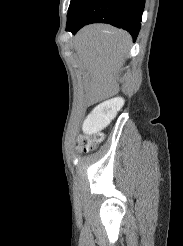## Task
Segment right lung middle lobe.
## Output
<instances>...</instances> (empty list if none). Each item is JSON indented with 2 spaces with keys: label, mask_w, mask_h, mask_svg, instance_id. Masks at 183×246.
Segmentation results:
<instances>
[{
  "label": "right lung middle lobe",
  "mask_w": 183,
  "mask_h": 246,
  "mask_svg": "<svg viewBox=\"0 0 183 246\" xmlns=\"http://www.w3.org/2000/svg\"><path fill=\"white\" fill-rule=\"evenodd\" d=\"M80 1L81 0H71L70 6H69V9H68L67 19L71 16V14L76 9V7L78 6V4H79Z\"/></svg>",
  "instance_id": "right-lung-middle-lobe-1"
}]
</instances>
